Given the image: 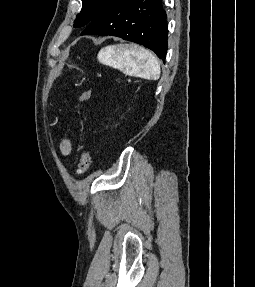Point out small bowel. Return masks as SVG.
Returning <instances> with one entry per match:
<instances>
[{
	"label": "small bowel",
	"mask_w": 255,
	"mask_h": 287,
	"mask_svg": "<svg viewBox=\"0 0 255 287\" xmlns=\"http://www.w3.org/2000/svg\"><path fill=\"white\" fill-rule=\"evenodd\" d=\"M72 151V143L69 139H63L62 142L60 143V153L63 156H68L70 155Z\"/></svg>",
	"instance_id": "c3829d8e"
}]
</instances>
